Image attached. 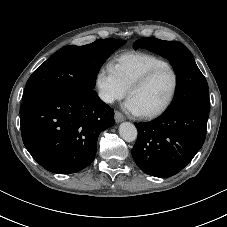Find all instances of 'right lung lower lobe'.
I'll return each mask as SVG.
<instances>
[{
  "label": "right lung lower lobe",
  "instance_id": "1",
  "mask_svg": "<svg viewBox=\"0 0 227 227\" xmlns=\"http://www.w3.org/2000/svg\"><path fill=\"white\" fill-rule=\"evenodd\" d=\"M25 147L46 170L69 174L89 165L101 131L114 125V111L97 95L50 92L23 100Z\"/></svg>",
  "mask_w": 227,
  "mask_h": 227
}]
</instances>
